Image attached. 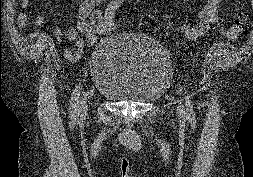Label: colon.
<instances>
[{
	"label": "colon",
	"mask_w": 253,
	"mask_h": 177,
	"mask_svg": "<svg viewBox=\"0 0 253 177\" xmlns=\"http://www.w3.org/2000/svg\"><path fill=\"white\" fill-rule=\"evenodd\" d=\"M126 3V0H109L103 9V23L101 29L102 37L111 36L118 23V18L120 13ZM248 20V15L244 11L237 13L233 22L229 28L223 29L220 33L221 37L228 41H234L237 39L244 31L246 23Z\"/></svg>",
	"instance_id": "1"
}]
</instances>
